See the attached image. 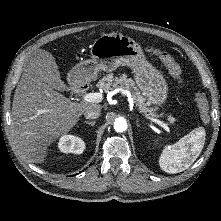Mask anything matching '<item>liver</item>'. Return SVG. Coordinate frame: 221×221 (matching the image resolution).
<instances>
[{
	"instance_id": "6515ba94",
	"label": "liver",
	"mask_w": 221,
	"mask_h": 221,
	"mask_svg": "<svg viewBox=\"0 0 221 221\" xmlns=\"http://www.w3.org/2000/svg\"><path fill=\"white\" fill-rule=\"evenodd\" d=\"M55 58L38 49L32 55L16 87L12 124L17 148L31 162L42 163L47 147L67 134L96 103L71 102L53 85ZM59 72V71H58Z\"/></svg>"
}]
</instances>
